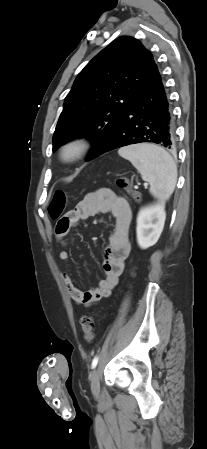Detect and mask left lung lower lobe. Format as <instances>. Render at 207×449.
Returning <instances> with one entry per match:
<instances>
[{"label": "left lung lower lobe", "mask_w": 207, "mask_h": 449, "mask_svg": "<svg viewBox=\"0 0 207 449\" xmlns=\"http://www.w3.org/2000/svg\"><path fill=\"white\" fill-rule=\"evenodd\" d=\"M136 143H156L167 149L175 147L172 109L157 66L119 127L94 158Z\"/></svg>", "instance_id": "0a47b994"}]
</instances>
